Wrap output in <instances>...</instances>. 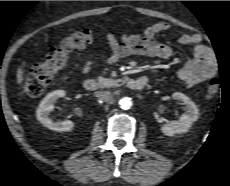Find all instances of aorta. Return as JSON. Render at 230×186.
Returning a JSON list of instances; mask_svg holds the SVG:
<instances>
[{"instance_id": "762f6f07", "label": "aorta", "mask_w": 230, "mask_h": 186, "mask_svg": "<svg viewBox=\"0 0 230 186\" xmlns=\"http://www.w3.org/2000/svg\"><path fill=\"white\" fill-rule=\"evenodd\" d=\"M119 105L122 109L128 110L132 107V100L129 97H123L120 99Z\"/></svg>"}]
</instances>
